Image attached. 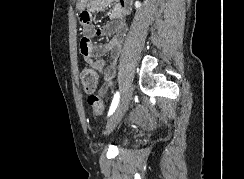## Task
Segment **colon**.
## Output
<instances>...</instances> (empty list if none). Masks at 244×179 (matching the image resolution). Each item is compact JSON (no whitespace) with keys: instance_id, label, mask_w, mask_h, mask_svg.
Wrapping results in <instances>:
<instances>
[{"instance_id":"obj_1","label":"colon","mask_w":244,"mask_h":179,"mask_svg":"<svg viewBox=\"0 0 244 179\" xmlns=\"http://www.w3.org/2000/svg\"><path fill=\"white\" fill-rule=\"evenodd\" d=\"M80 79L83 89L88 93L87 103L94 116H101L105 111L103 98L95 95L94 92L98 85V74L89 66H84L80 72Z\"/></svg>"}]
</instances>
